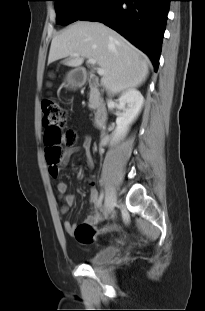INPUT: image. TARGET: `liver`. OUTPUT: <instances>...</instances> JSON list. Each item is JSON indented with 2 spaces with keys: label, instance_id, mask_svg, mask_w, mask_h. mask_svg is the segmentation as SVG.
<instances>
[{
  "label": "liver",
  "instance_id": "obj_1",
  "mask_svg": "<svg viewBox=\"0 0 205 311\" xmlns=\"http://www.w3.org/2000/svg\"><path fill=\"white\" fill-rule=\"evenodd\" d=\"M66 57H70L64 62L69 67H80L85 58L94 59L105 71L101 83L112 95L140 86L149 73L147 57L99 22L77 21L53 38L48 64Z\"/></svg>",
  "mask_w": 205,
  "mask_h": 311
}]
</instances>
